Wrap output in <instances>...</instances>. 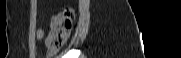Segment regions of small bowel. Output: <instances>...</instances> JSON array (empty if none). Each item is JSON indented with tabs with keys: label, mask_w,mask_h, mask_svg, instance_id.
I'll use <instances>...</instances> for the list:
<instances>
[{
	"label": "small bowel",
	"mask_w": 181,
	"mask_h": 58,
	"mask_svg": "<svg viewBox=\"0 0 181 58\" xmlns=\"http://www.w3.org/2000/svg\"><path fill=\"white\" fill-rule=\"evenodd\" d=\"M44 37V31L42 29H39L37 32V38L41 39Z\"/></svg>",
	"instance_id": "small-bowel-1"
}]
</instances>
